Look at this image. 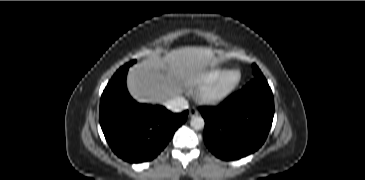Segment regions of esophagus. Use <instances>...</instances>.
Masks as SVG:
<instances>
[{
	"mask_svg": "<svg viewBox=\"0 0 365 180\" xmlns=\"http://www.w3.org/2000/svg\"><path fill=\"white\" fill-rule=\"evenodd\" d=\"M199 114V112L197 111L196 108H190L189 109V116H197Z\"/></svg>",
	"mask_w": 365,
	"mask_h": 180,
	"instance_id": "obj_1",
	"label": "esophagus"
}]
</instances>
